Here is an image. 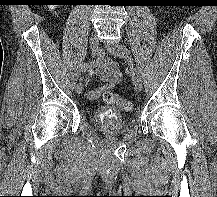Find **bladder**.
Masks as SVG:
<instances>
[{"label": "bladder", "mask_w": 217, "mask_h": 197, "mask_svg": "<svg viewBox=\"0 0 217 197\" xmlns=\"http://www.w3.org/2000/svg\"><path fill=\"white\" fill-rule=\"evenodd\" d=\"M92 119L96 126L107 134L121 133L126 128L125 117L117 110L98 108L93 112Z\"/></svg>", "instance_id": "31cf9c89"}]
</instances>
